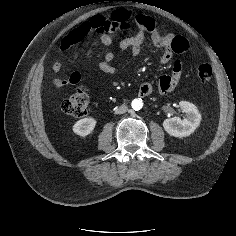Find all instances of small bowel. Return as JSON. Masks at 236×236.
Returning <instances> with one entry per match:
<instances>
[{
	"instance_id": "c3829d8e",
	"label": "small bowel",
	"mask_w": 236,
	"mask_h": 236,
	"mask_svg": "<svg viewBox=\"0 0 236 236\" xmlns=\"http://www.w3.org/2000/svg\"><path fill=\"white\" fill-rule=\"evenodd\" d=\"M139 31L128 37H124L119 42V49L121 51H130L134 56L141 53L145 33H148L151 38L152 44L162 49V53L159 57L161 64H168L173 62L172 73L170 75H163L159 78L158 91L161 94L171 93L179 84L183 75V62L180 58H174V55H180L189 50L188 40L184 36L174 34H161L157 31L154 25V21L150 17H146L138 25ZM100 34V41L105 46H110L113 42L112 36L108 32L97 30ZM71 35L65 37L61 43V50L66 51L72 47ZM115 57L113 51L105 52L103 60L99 63V69L105 74H114L116 68L112 64ZM53 73L58 76L62 71V64L60 61H56L52 66ZM80 81V74L78 72L72 73L68 79L62 80L57 77L52 79V85L55 88H64ZM153 87L149 83H143L139 88V94L141 96H148L152 93Z\"/></svg>"
}]
</instances>
